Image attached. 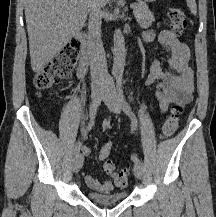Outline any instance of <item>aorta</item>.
I'll return each instance as SVG.
<instances>
[{"label": "aorta", "instance_id": "obj_1", "mask_svg": "<svg viewBox=\"0 0 216 217\" xmlns=\"http://www.w3.org/2000/svg\"><path fill=\"white\" fill-rule=\"evenodd\" d=\"M113 41L114 62L112 67V75L115 77H122L125 67L126 48L124 36L120 29H116L114 31Z\"/></svg>", "mask_w": 216, "mask_h": 217}]
</instances>
